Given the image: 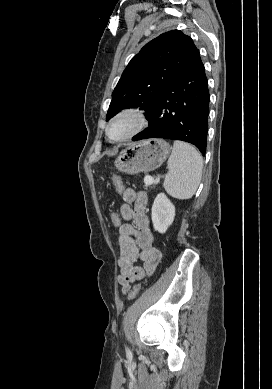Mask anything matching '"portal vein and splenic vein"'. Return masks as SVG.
Here are the masks:
<instances>
[{"instance_id": "obj_1", "label": "portal vein and splenic vein", "mask_w": 272, "mask_h": 389, "mask_svg": "<svg viewBox=\"0 0 272 389\" xmlns=\"http://www.w3.org/2000/svg\"><path fill=\"white\" fill-rule=\"evenodd\" d=\"M145 181L148 183L156 182L152 177H145Z\"/></svg>"}]
</instances>
